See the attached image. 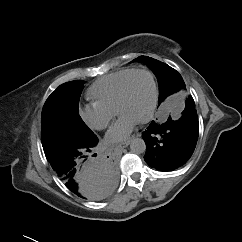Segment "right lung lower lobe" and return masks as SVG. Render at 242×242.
I'll use <instances>...</instances> for the list:
<instances>
[{"label":"right lung lower lobe","instance_id":"obj_1","mask_svg":"<svg viewBox=\"0 0 242 242\" xmlns=\"http://www.w3.org/2000/svg\"><path fill=\"white\" fill-rule=\"evenodd\" d=\"M98 143L95 137L84 144L74 145L51 154L47 160L64 185L74 194L88 200H100L115 189L117 170L110 159H91Z\"/></svg>","mask_w":242,"mask_h":242}]
</instances>
